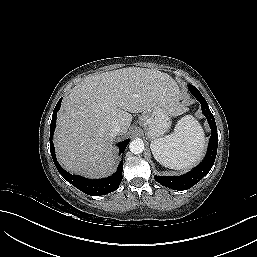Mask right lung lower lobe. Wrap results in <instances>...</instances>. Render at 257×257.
<instances>
[{"label":"right lung lower lobe","mask_w":257,"mask_h":257,"mask_svg":"<svg viewBox=\"0 0 257 257\" xmlns=\"http://www.w3.org/2000/svg\"><path fill=\"white\" fill-rule=\"evenodd\" d=\"M61 100L62 98L58 101L53 111L52 121L50 125V151L57 170L70 184L74 185L77 189L88 195L100 196L116 190L122 181L123 161L120 162L117 171L112 176L97 180L87 179L78 175H71L68 172H66L57 162L52 137L56 126V116L57 111L59 110L61 105ZM128 143L129 139L119 144L120 153H122L125 150Z\"/></svg>","instance_id":"1"}]
</instances>
